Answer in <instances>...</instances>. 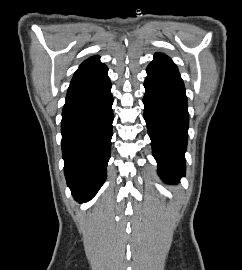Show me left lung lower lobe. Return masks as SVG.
Wrapping results in <instances>:
<instances>
[{
  "mask_svg": "<svg viewBox=\"0 0 242 270\" xmlns=\"http://www.w3.org/2000/svg\"><path fill=\"white\" fill-rule=\"evenodd\" d=\"M144 82V119L158 173L167 183L185 176L189 114L185 87L177 66L166 55H155Z\"/></svg>",
  "mask_w": 242,
  "mask_h": 270,
  "instance_id": "obj_1",
  "label": "left lung lower lobe"
}]
</instances>
